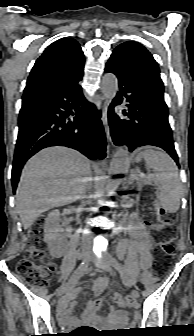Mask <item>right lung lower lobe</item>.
<instances>
[{
  "mask_svg": "<svg viewBox=\"0 0 194 336\" xmlns=\"http://www.w3.org/2000/svg\"><path fill=\"white\" fill-rule=\"evenodd\" d=\"M82 76L83 71L53 90L23 99L12 169L14 193L25 162L45 147L67 146L91 160L105 158L101 114L84 98Z\"/></svg>",
  "mask_w": 194,
  "mask_h": 336,
  "instance_id": "98d812e1",
  "label": "right lung lower lobe"
}]
</instances>
